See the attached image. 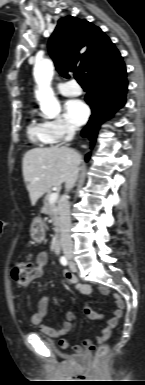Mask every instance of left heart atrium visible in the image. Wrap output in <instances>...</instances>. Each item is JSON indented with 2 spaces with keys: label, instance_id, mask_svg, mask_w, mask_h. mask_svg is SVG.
Masks as SVG:
<instances>
[{
  "label": "left heart atrium",
  "instance_id": "39dd6f15",
  "mask_svg": "<svg viewBox=\"0 0 145 385\" xmlns=\"http://www.w3.org/2000/svg\"><path fill=\"white\" fill-rule=\"evenodd\" d=\"M65 116L71 123L82 125L89 116V109L83 101L71 99L65 105Z\"/></svg>",
  "mask_w": 145,
  "mask_h": 385
}]
</instances>
